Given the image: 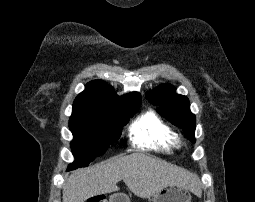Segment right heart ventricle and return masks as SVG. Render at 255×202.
I'll list each match as a JSON object with an SVG mask.
<instances>
[{
  "label": "right heart ventricle",
  "instance_id": "obj_1",
  "mask_svg": "<svg viewBox=\"0 0 255 202\" xmlns=\"http://www.w3.org/2000/svg\"><path fill=\"white\" fill-rule=\"evenodd\" d=\"M132 142L147 149L171 152L176 148L177 137L172 128L154 111H146L129 128Z\"/></svg>",
  "mask_w": 255,
  "mask_h": 202
}]
</instances>
